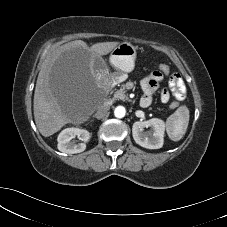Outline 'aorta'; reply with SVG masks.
<instances>
[{
  "mask_svg": "<svg viewBox=\"0 0 227 227\" xmlns=\"http://www.w3.org/2000/svg\"><path fill=\"white\" fill-rule=\"evenodd\" d=\"M126 114V109L123 106H117L114 110V115L116 118H123Z\"/></svg>",
  "mask_w": 227,
  "mask_h": 227,
  "instance_id": "aorta-1",
  "label": "aorta"
}]
</instances>
